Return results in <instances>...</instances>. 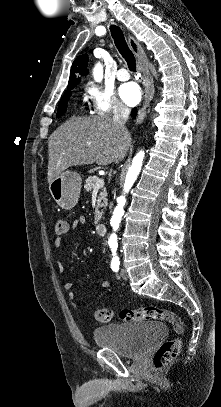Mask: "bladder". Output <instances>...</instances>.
Wrapping results in <instances>:
<instances>
[{"mask_svg":"<svg viewBox=\"0 0 221 407\" xmlns=\"http://www.w3.org/2000/svg\"><path fill=\"white\" fill-rule=\"evenodd\" d=\"M166 331L163 323H112L96 327L93 338L97 346L113 349L122 357L132 358L142 355Z\"/></svg>","mask_w":221,"mask_h":407,"instance_id":"obj_1","label":"bladder"}]
</instances>
